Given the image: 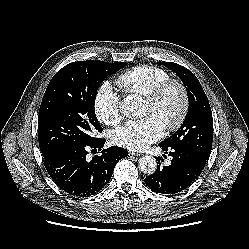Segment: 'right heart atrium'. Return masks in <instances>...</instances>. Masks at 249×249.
<instances>
[{"label": "right heart atrium", "instance_id": "right-heart-atrium-1", "mask_svg": "<svg viewBox=\"0 0 249 249\" xmlns=\"http://www.w3.org/2000/svg\"><path fill=\"white\" fill-rule=\"evenodd\" d=\"M93 109L97 119L106 125H116L121 120L120 99L110 83L97 89Z\"/></svg>", "mask_w": 249, "mask_h": 249}]
</instances>
